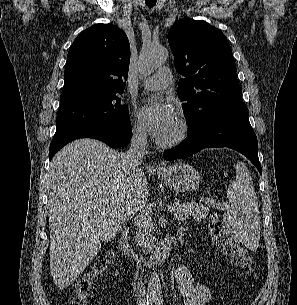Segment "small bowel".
Segmentation results:
<instances>
[{
    "mask_svg": "<svg viewBox=\"0 0 297 305\" xmlns=\"http://www.w3.org/2000/svg\"><path fill=\"white\" fill-rule=\"evenodd\" d=\"M174 281L184 305H206L212 298L211 288L208 285L196 283L186 267L176 269Z\"/></svg>",
    "mask_w": 297,
    "mask_h": 305,
    "instance_id": "1",
    "label": "small bowel"
}]
</instances>
